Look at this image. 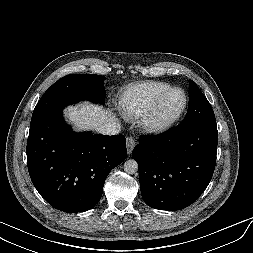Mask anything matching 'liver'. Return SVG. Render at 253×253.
<instances>
[{"mask_svg": "<svg viewBox=\"0 0 253 253\" xmlns=\"http://www.w3.org/2000/svg\"><path fill=\"white\" fill-rule=\"evenodd\" d=\"M65 113L77 130H97L99 125L115 120L110 111L87 102L79 107L70 106Z\"/></svg>", "mask_w": 253, "mask_h": 253, "instance_id": "obj_1", "label": "liver"}]
</instances>
